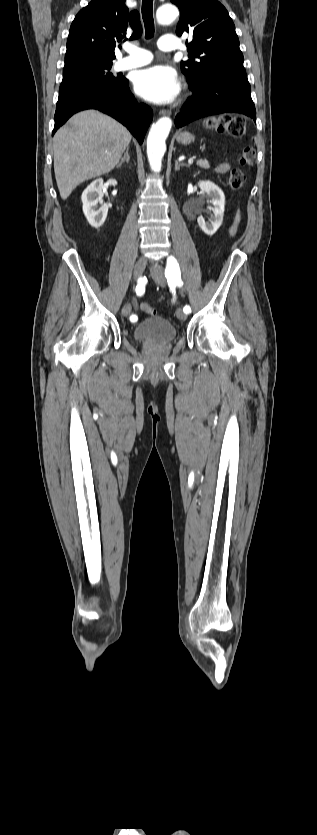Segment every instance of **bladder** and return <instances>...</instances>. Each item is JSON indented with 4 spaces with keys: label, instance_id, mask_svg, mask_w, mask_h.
I'll use <instances>...</instances> for the list:
<instances>
[{
    "label": "bladder",
    "instance_id": "bladder-1",
    "mask_svg": "<svg viewBox=\"0 0 317 835\" xmlns=\"http://www.w3.org/2000/svg\"><path fill=\"white\" fill-rule=\"evenodd\" d=\"M133 336L138 342L165 345L176 339L177 329L168 319L154 315L140 321Z\"/></svg>",
    "mask_w": 317,
    "mask_h": 835
}]
</instances>
